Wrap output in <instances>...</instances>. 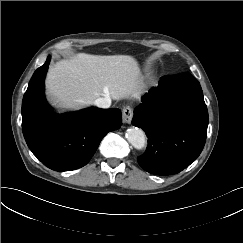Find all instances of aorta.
I'll return each instance as SVG.
<instances>
[{"label":"aorta","instance_id":"aorta-1","mask_svg":"<svg viewBox=\"0 0 243 243\" xmlns=\"http://www.w3.org/2000/svg\"><path fill=\"white\" fill-rule=\"evenodd\" d=\"M126 138L128 142L136 149H142L146 144L145 133L137 127L127 129Z\"/></svg>","mask_w":243,"mask_h":243}]
</instances>
